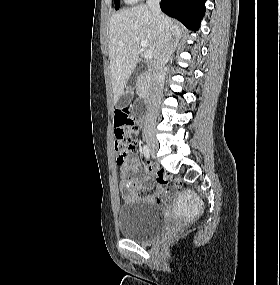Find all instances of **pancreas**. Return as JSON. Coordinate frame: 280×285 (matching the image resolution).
Instances as JSON below:
<instances>
[{
  "instance_id": "1",
  "label": "pancreas",
  "mask_w": 280,
  "mask_h": 285,
  "mask_svg": "<svg viewBox=\"0 0 280 285\" xmlns=\"http://www.w3.org/2000/svg\"><path fill=\"white\" fill-rule=\"evenodd\" d=\"M149 89V80L145 76L140 79L139 84H138V93L139 94H145Z\"/></svg>"
}]
</instances>
